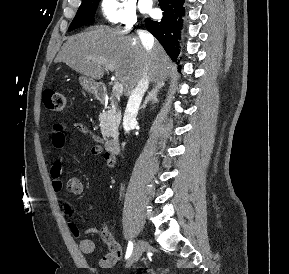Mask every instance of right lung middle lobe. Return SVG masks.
<instances>
[{"mask_svg":"<svg viewBox=\"0 0 289 274\" xmlns=\"http://www.w3.org/2000/svg\"><path fill=\"white\" fill-rule=\"evenodd\" d=\"M100 0H83L82 4L70 24L69 31L94 21V14Z\"/></svg>","mask_w":289,"mask_h":274,"instance_id":"dd1d6c3e","label":"right lung middle lobe"}]
</instances>
